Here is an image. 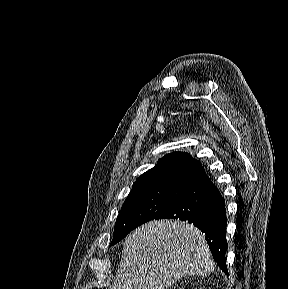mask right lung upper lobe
<instances>
[{
	"label": "right lung upper lobe",
	"instance_id": "cb5924a9",
	"mask_svg": "<svg viewBox=\"0 0 288 289\" xmlns=\"http://www.w3.org/2000/svg\"><path fill=\"white\" fill-rule=\"evenodd\" d=\"M206 173L200 161L188 153L173 152L165 155L158 163L134 182L131 191L157 187L188 190L198 183Z\"/></svg>",
	"mask_w": 288,
	"mask_h": 289
}]
</instances>
